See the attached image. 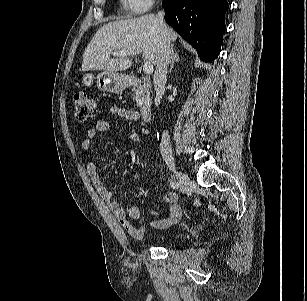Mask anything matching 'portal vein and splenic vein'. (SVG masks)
Here are the masks:
<instances>
[{
	"mask_svg": "<svg viewBox=\"0 0 307 301\" xmlns=\"http://www.w3.org/2000/svg\"><path fill=\"white\" fill-rule=\"evenodd\" d=\"M141 51L140 50H131V51H117L113 52V56H128V55H138ZM143 72L147 75L153 73V64L150 61H145L143 65Z\"/></svg>",
	"mask_w": 307,
	"mask_h": 301,
	"instance_id": "1",
	"label": "portal vein and splenic vein"
}]
</instances>
